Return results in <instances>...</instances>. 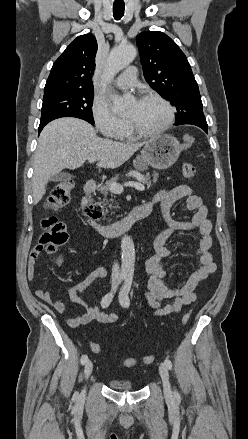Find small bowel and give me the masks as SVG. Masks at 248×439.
<instances>
[{
	"instance_id": "small-bowel-1",
	"label": "small bowel",
	"mask_w": 248,
	"mask_h": 439,
	"mask_svg": "<svg viewBox=\"0 0 248 439\" xmlns=\"http://www.w3.org/2000/svg\"><path fill=\"white\" fill-rule=\"evenodd\" d=\"M181 199L185 200L188 210L194 211L190 220L177 221L171 216L173 205ZM157 203L161 206L162 217L167 227L155 237V254L143 262V268L149 275V291L145 293L144 297L156 315L165 316L170 313L181 312L185 306L193 303L197 297V287L216 271L217 265L210 251L212 246V223L208 219V209L203 204L202 199L189 186L178 185L171 189L160 190L144 206L151 211ZM193 230H196L199 234V245L195 254L199 258L200 266L184 282L172 287L165 280L167 272L162 265V261L171 255V251L165 246L166 241L177 232ZM39 254L40 252L37 249H33L30 253L27 266V276L30 281L35 278V265ZM64 259L65 255L60 253L56 259V265L58 267L62 266ZM106 275L107 271L104 268H98L70 288L69 296L71 300L84 309V313L80 316L67 319L70 327L77 328L91 322L111 324L117 321L116 314L99 310L96 305L89 304L84 296L89 287L105 278ZM35 294L52 306L59 314L64 313V303L60 299L54 298L49 291L37 288ZM164 299H169L170 302L165 306H161V301Z\"/></svg>"
}]
</instances>
